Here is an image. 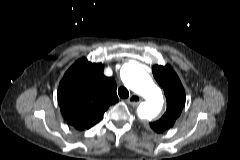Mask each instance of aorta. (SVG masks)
<instances>
[{"instance_id": "obj_1", "label": "aorta", "mask_w": 240, "mask_h": 160, "mask_svg": "<svg viewBox=\"0 0 240 160\" xmlns=\"http://www.w3.org/2000/svg\"><path fill=\"white\" fill-rule=\"evenodd\" d=\"M120 74L124 84L142 98V103L138 107V116L146 120L155 118L161 112L164 103L161 89L136 63L125 64Z\"/></svg>"}]
</instances>
